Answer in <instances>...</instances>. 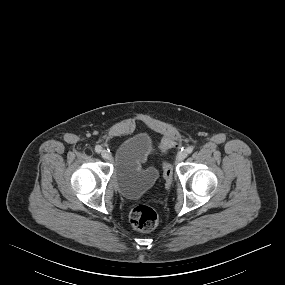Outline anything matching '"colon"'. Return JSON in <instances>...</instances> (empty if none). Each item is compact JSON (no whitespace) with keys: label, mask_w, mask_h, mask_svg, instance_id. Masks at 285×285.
Segmentation results:
<instances>
[{"label":"colon","mask_w":285,"mask_h":285,"mask_svg":"<svg viewBox=\"0 0 285 285\" xmlns=\"http://www.w3.org/2000/svg\"><path fill=\"white\" fill-rule=\"evenodd\" d=\"M174 144L171 138L164 139L160 144L162 151L167 150ZM163 176L167 186L172 183L173 169L168 162L163 163ZM130 222L132 227L140 232L153 230L158 224V214L148 205H138L130 213Z\"/></svg>","instance_id":"obj_1"}]
</instances>
